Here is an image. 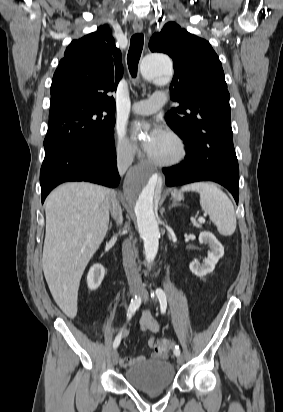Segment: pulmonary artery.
I'll use <instances>...</instances> for the list:
<instances>
[{"label": "pulmonary artery", "mask_w": 283, "mask_h": 412, "mask_svg": "<svg viewBox=\"0 0 283 412\" xmlns=\"http://www.w3.org/2000/svg\"><path fill=\"white\" fill-rule=\"evenodd\" d=\"M166 100V94H154L147 100H141L134 103L132 106V110L140 115H150L159 110L162 106H164Z\"/></svg>", "instance_id": "obj_1"}]
</instances>
